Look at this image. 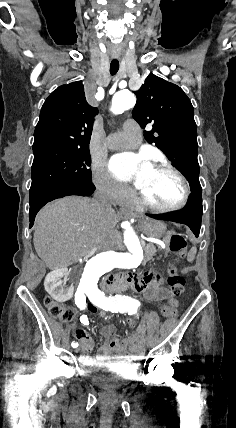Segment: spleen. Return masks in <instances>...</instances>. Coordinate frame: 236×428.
Segmentation results:
<instances>
[{
	"mask_svg": "<svg viewBox=\"0 0 236 428\" xmlns=\"http://www.w3.org/2000/svg\"><path fill=\"white\" fill-rule=\"evenodd\" d=\"M196 252H197L196 248H191L188 254V262H193Z\"/></svg>",
	"mask_w": 236,
	"mask_h": 428,
	"instance_id": "3e777b00",
	"label": "spleen"
}]
</instances>
